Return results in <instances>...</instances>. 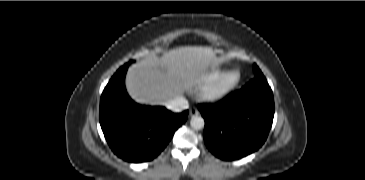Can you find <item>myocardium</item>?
Returning <instances> with one entry per match:
<instances>
[{"label": "myocardium", "mask_w": 365, "mask_h": 180, "mask_svg": "<svg viewBox=\"0 0 365 180\" xmlns=\"http://www.w3.org/2000/svg\"><path fill=\"white\" fill-rule=\"evenodd\" d=\"M240 80L241 74L238 70H227L205 86L201 98L207 103L221 102L232 94Z\"/></svg>", "instance_id": "myocardium-1"}]
</instances>
